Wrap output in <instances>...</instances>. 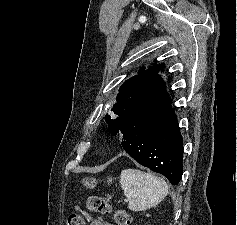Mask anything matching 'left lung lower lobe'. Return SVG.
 I'll list each match as a JSON object with an SVG mask.
<instances>
[{
    "mask_svg": "<svg viewBox=\"0 0 237 225\" xmlns=\"http://www.w3.org/2000/svg\"><path fill=\"white\" fill-rule=\"evenodd\" d=\"M117 133L123 149L139 164L164 175L173 185L180 182L183 145L170 98L129 113Z\"/></svg>",
    "mask_w": 237,
    "mask_h": 225,
    "instance_id": "obj_1",
    "label": "left lung lower lobe"
}]
</instances>
